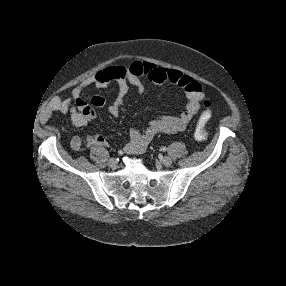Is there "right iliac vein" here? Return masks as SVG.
Masks as SVG:
<instances>
[{"label":"right iliac vein","mask_w":286,"mask_h":286,"mask_svg":"<svg viewBox=\"0 0 286 286\" xmlns=\"http://www.w3.org/2000/svg\"><path fill=\"white\" fill-rule=\"evenodd\" d=\"M108 165H109L111 168H116V165H117L116 159L111 158V159L108 161Z\"/></svg>","instance_id":"right-iliac-vein-1"}]
</instances>
